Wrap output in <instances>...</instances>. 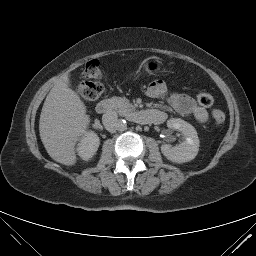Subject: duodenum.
I'll return each instance as SVG.
<instances>
[{"mask_svg":"<svg viewBox=\"0 0 256 256\" xmlns=\"http://www.w3.org/2000/svg\"><path fill=\"white\" fill-rule=\"evenodd\" d=\"M114 107V102L111 99H105L100 101L96 105V111L99 114L108 113ZM159 114L153 110H140L131 114V118L140 124L156 123Z\"/></svg>","mask_w":256,"mask_h":256,"instance_id":"410a0bca","label":"duodenum"}]
</instances>
